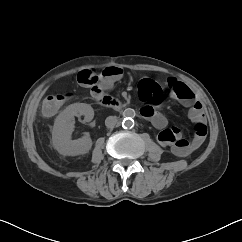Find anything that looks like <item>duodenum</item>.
I'll return each instance as SVG.
<instances>
[{
    "label": "duodenum",
    "instance_id": "1",
    "mask_svg": "<svg viewBox=\"0 0 242 242\" xmlns=\"http://www.w3.org/2000/svg\"><path fill=\"white\" fill-rule=\"evenodd\" d=\"M94 100L100 106H103V107H106V108H111V109H114V110H119L123 107V104L119 100L114 99V98L109 97V96L102 95V94L94 96Z\"/></svg>",
    "mask_w": 242,
    "mask_h": 242
}]
</instances>
